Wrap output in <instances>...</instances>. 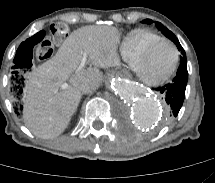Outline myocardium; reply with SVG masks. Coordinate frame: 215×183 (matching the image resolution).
Masks as SVG:
<instances>
[{"instance_id": "myocardium-1", "label": "myocardium", "mask_w": 215, "mask_h": 183, "mask_svg": "<svg viewBox=\"0 0 215 183\" xmlns=\"http://www.w3.org/2000/svg\"><path fill=\"white\" fill-rule=\"evenodd\" d=\"M160 43H168L172 46V48L174 50V62H173L171 69L164 76H162L159 79L151 80V79L146 78L144 76V74L142 73L141 63L146 58V56ZM179 60H180V53H179L177 46L169 39L161 38V39H158V40L152 42L151 44H149L139 54V56L134 60L131 68H132L133 72L135 73L137 79L144 85H147L149 87H160V86H163L164 84H166L176 73L178 65H179Z\"/></svg>"}]
</instances>
